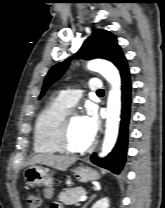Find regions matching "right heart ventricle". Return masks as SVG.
<instances>
[{"instance_id":"obj_1","label":"right heart ventricle","mask_w":165,"mask_h":208,"mask_svg":"<svg viewBox=\"0 0 165 208\" xmlns=\"http://www.w3.org/2000/svg\"><path fill=\"white\" fill-rule=\"evenodd\" d=\"M68 109V106L54 99L37 116L33 133V145L37 153L46 155L62 153L57 137Z\"/></svg>"}]
</instances>
